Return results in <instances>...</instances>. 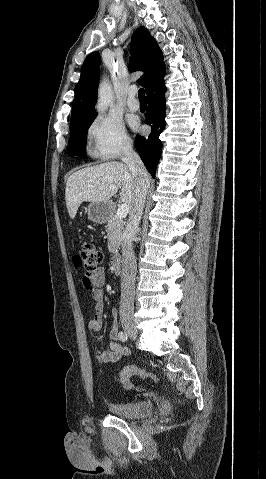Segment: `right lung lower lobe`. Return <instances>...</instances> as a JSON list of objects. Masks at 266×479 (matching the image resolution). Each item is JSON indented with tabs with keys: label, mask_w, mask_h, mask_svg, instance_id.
I'll return each mask as SVG.
<instances>
[{
	"label": "right lung lower lobe",
	"mask_w": 266,
	"mask_h": 479,
	"mask_svg": "<svg viewBox=\"0 0 266 479\" xmlns=\"http://www.w3.org/2000/svg\"><path fill=\"white\" fill-rule=\"evenodd\" d=\"M165 91L166 87L162 81L152 87L147 94L148 110L145 114V123L150 125L152 131L148 137L136 136V147L145 167L152 177H155V171L159 162L162 142L159 139L160 134L165 128Z\"/></svg>",
	"instance_id": "98d812e1"
}]
</instances>
